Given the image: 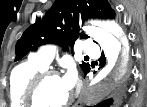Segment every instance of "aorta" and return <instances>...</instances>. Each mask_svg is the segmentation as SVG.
Returning <instances> with one entry per match:
<instances>
[{
  "label": "aorta",
  "mask_w": 147,
  "mask_h": 107,
  "mask_svg": "<svg viewBox=\"0 0 147 107\" xmlns=\"http://www.w3.org/2000/svg\"><path fill=\"white\" fill-rule=\"evenodd\" d=\"M85 33L98 42L104 50L107 66L91 83L83 97L87 105L95 104L114 90L126 73L128 43L121 29L114 23L87 26Z\"/></svg>",
  "instance_id": "obj_1"
}]
</instances>
